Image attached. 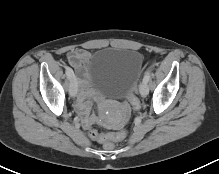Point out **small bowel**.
I'll return each mask as SVG.
<instances>
[{"label": "small bowel", "instance_id": "obj_1", "mask_svg": "<svg viewBox=\"0 0 219 174\" xmlns=\"http://www.w3.org/2000/svg\"><path fill=\"white\" fill-rule=\"evenodd\" d=\"M91 56V52L83 49L71 50L67 54L69 63L78 71L80 75L79 83L81 86V91L78 96L77 109L83 117V125L86 128H89L95 121V117L89 114L90 106L87 102V98L90 96V92L89 78L86 68ZM120 127V121H114L111 123V128L113 129H119Z\"/></svg>", "mask_w": 219, "mask_h": 174}]
</instances>
